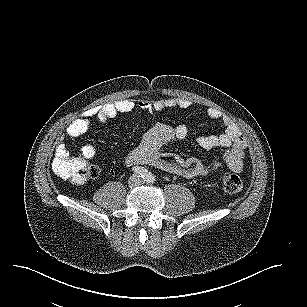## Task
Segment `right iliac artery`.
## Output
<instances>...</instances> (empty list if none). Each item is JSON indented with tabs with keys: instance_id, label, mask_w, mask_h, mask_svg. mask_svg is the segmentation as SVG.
<instances>
[{
	"instance_id": "obj_1",
	"label": "right iliac artery",
	"mask_w": 307,
	"mask_h": 307,
	"mask_svg": "<svg viewBox=\"0 0 307 307\" xmlns=\"http://www.w3.org/2000/svg\"><path fill=\"white\" fill-rule=\"evenodd\" d=\"M132 170L142 178H146L148 176V171L144 167L136 166Z\"/></svg>"
}]
</instances>
